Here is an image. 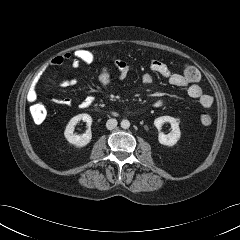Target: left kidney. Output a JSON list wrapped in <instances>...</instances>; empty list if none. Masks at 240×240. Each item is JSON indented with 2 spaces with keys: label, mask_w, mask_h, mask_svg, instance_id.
Masks as SVG:
<instances>
[{
  "label": "left kidney",
  "mask_w": 240,
  "mask_h": 240,
  "mask_svg": "<svg viewBox=\"0 0 240 240\" xmlns=\"http://www.w3.org/2000/svg\"><path fill=\"white\" fill-rule=\"evenodd\" d=\"M165 122L170 123L172 131L168 135L160 132L158 140L160 144L172 147L179 141L181 137L179 120L171 116H161L154 120V126L160 131Z\"/></svg>",
  "instance_id": "obj_1"
}]
</instances>
